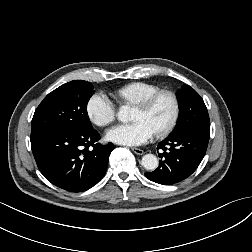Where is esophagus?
I'll return each instance as SVG.
<instances>
[{
  "label": "esophagus",
  "instance_id": "obj_1",
  "mask_svg": "<svg viewBox=\"0 0 252 252\" xmlns=\"http://www.w3.org/2000/svg\"><path fill=\"white\" fill-rule=\"evenodd\" d=\"M131 149H132V151H133L135 154H137V155H143V154H144V151H143L142 149L135 148V147H133V148H131Z\"/></svg>",
  "mask_w": 252,
  "mask_h": 252
}]
</instances>
